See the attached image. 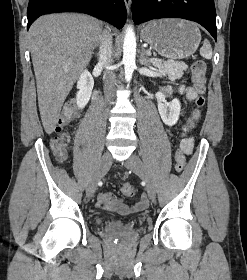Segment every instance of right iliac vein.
Segmentation results:
<instances>
[{
	"label": "right iliac vein",
	"mask_w": 247,
	"mask_h": 280,
	"mask_svg": "<svg viewBox=\"0 0 247 280\" xmlns=\"http://www.w3.org/2000/svg\"><path fill=\"white\" fill-rule=\"evenodd\" d=\"M112 164V157L110 153L106 152L101 157L93 178L91 179L87 188V196L92 197L97 188L98 181L107 173Z\"/></svg>",
	"instance_id": "right-iliac-vein-1"
}]
</instances>
